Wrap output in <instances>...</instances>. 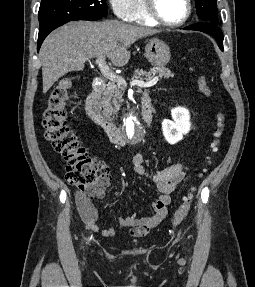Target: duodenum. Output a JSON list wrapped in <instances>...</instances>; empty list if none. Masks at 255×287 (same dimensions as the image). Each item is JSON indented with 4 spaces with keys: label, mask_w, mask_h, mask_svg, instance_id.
Listing matches in <instances>:
<instances>
[{
    "label": "duodenum",
    "mask_w": 255,
    "mask_h": 287,
    "mask_svg": "<svg viewBox=\"0 0 255 287\" xmlns=\"http://www.w3.org/2000/svg\"><path fill=\"white\" fill-rule=\"evenodd\" d=\"M106 86L107 83L102 79L95 81L93 90L85 103L86 113L88 117L105 132L111 143L115 145H123L127 142L124 131L105 118L99 110V100ZM141 107L143 124L145 127H149L153 117L149 94L145 93L142 95Z\"/></svg>",
    "instance_id": "obj_1"
}]
</instances>
